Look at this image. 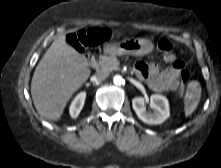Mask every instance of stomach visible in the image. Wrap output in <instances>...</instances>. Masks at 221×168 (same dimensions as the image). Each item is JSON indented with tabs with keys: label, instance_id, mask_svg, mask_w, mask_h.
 Returning <instances> with one entry per match:
<instances>
[{
	"label": "stomach",
	"instance_id": "0dacf381",
	"mask_svg": "<svg viewBox=\"0 0 221 168\" xmlns=\"http://www.w3.org/2000/svg\"><path fill=\"white\" fill-rule=\"evenodd\" d=\"M153 49L154 45L148 39L128 38L106 45L104 51L111 55L143 56L152 52Z\"/></svg>",
	"mask_w": 221,
	"mask_h": 168
}]
</instances>
